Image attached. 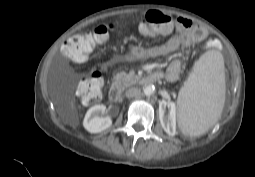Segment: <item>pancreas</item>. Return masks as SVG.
Instances as JSON below:
<instances>
[{
  "label": "pancreas",
  "instance_id": "1",
  "mask_svg": "<svg viewBox=\"0 0 255 177\" xmlns=\"http://www.w3.org/2000/svg\"><path fill=\"white\" fill-rule=\"evenodd\" d=\"M139 77L132 73L120 72L117 73L113 78V85L121 89L129 87L138 81Z\"/></svg>",
  "mask_w": 255,
  "mask_h": 177
}]
</instances>
